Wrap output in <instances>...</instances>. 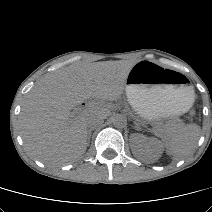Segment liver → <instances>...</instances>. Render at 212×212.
I'll return each instance as SVG.
<instances>
[{"label":"liver","instance_id":"1","mask_svg":"<svg viewBox=\"0 0 212 212\" xmlns=\"http://www.w3.org/2000/svg\"><path fill=\"white\" fill-rule=\"evenodd\" d=\"M134 63L106 61L72 64L45 77L28 94L19 128L28 153L48 165H60L82 156L87 149V117H108L111 102L121 97ZM87 109L70 111L87 99Z\"/></svg>","mask_w":212,"mask_h":212}]
</instances>
